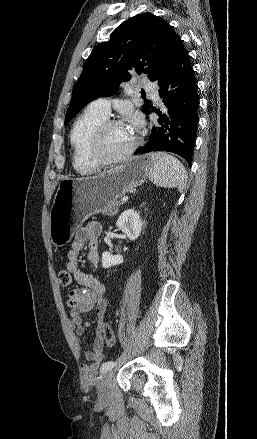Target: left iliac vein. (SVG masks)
Segmentation results:
<instances>
[{
  "instance_id": "4c4485c4",
  "label": "left iliac vein",
  "mask_w": 257,
  "mask_h": 439,
  "mask_svg": "<svg viewBox=\"0 0 257 439\" xmlns=\"http://www.w3.org/2000/svg\"><path fill=\"white\" fill-rule=\"evenodd\" d=\"M113 376L114 374L112 371H107L101 377L100 383L98 385V399L100 402H105L108 400Z\"/></svg>"
}]
</instances>
